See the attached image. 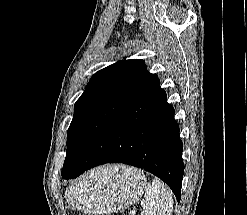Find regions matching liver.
I'll list each match as a JSON object with an SVG mask.
<instances>
[{
	"label": "liver",
	"instance_id": "1",
	"mask_svg": "<svg viewBox=\"0 0 247 215\" xmlns=\"http://www.w3.org/2000/svg\"><path fill=\"white\" fill-rule=\"evenodd\" d=\"M123 168H124V170H128V168H127V167H123ZM111 176H114V174H112V173H111Z\"/></svg>",
	"mask_w": 247,
	"mask_h": 215
}]
</instances>
